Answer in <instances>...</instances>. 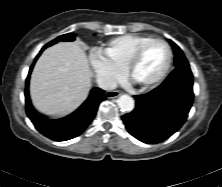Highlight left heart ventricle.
Listing matches in <instances>:
<instances>
[{"instance_id":"left-heart-ventricle-1","label":"left heart ventricle","mask_w":222,"mask_h":187,"mask_svg":"<svg viewBox=\"0 0 222 187\" xmlns=\"http://www.w3.org/2000/svg\"><path fill=\"white\" fill-rule=\"evenodd\" d=\"M167 61V49L160 42H151L143 50L142 55L132 72L136 82H146L156 78Z\"/></svg>"}]
</instances>
